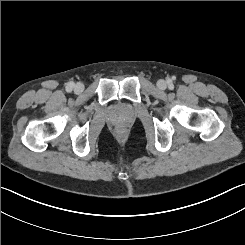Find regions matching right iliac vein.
Listing matches in <instances>:
<instances>
[{
  "label": "right iliac vein",
  "mask_w": 245,
  "mask_h": 245,
  "mask_svg": "<svg viewBox=\"0 0 245 245\" xmlns=\"http://www.w3.org/2000/svg\"><path fill=\"white\" fill-rule=\"evenodd\" d=\"M84 90V85L82 83H77L75 86H74V92L76 94H80L82 91Z\"/></svg>",
  "instance_id": "obj_1"
}]
</instances>
